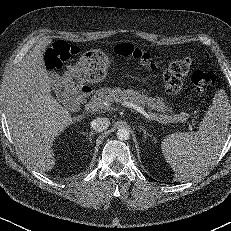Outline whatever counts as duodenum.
<instances>
[{
  "label": "duodenum",
  "instance_id": "duodenum-1",
  "mask_svg": "<svg viewBox=\"0 0 231 231\" xmlns=\"http://www.w3.org/2000/svg\"><path fill=\"white\" fill-rule=\"evenodd\" d=\"M92 94V88L87 84H75L70 80L64 81L63 101L72 108H78Z\"/></svg>",
  "mask_w": 231,
  "mask_h": 231
}]
</instances>
